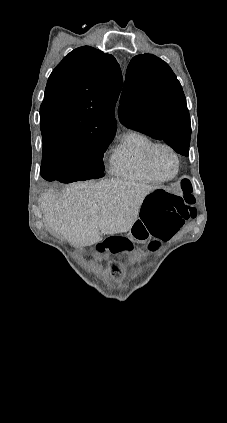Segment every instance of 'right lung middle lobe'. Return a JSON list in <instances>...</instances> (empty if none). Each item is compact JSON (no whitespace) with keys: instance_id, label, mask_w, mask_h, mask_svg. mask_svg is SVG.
<instances>
[{"instance_id":"obj_1","label":"right lung middle lobe","mask_w":227,"mask_h":423,"mask_svg":"<svg viewBox=\"0 0 227 423\" xmlns=\"http://www.w3.org/2000/svg\"><path fill=\"white\" fill-rule=\"evenodd\" d=\"M111 136H73L43 143L42 162L68 166L75 181L103 177V153L112 142Z\"/></svg>"}]
</instances>
